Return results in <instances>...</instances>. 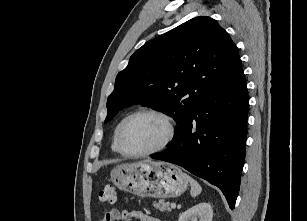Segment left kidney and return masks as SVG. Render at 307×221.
<instances>
[{
    "label": "left kidney",
    "mask_w": 307,
    "mask_h": 221,
    "mask_svg": "<svg viewBox=\"0 0 307 221\" xmlns=\"http://www.w3.org/2000/svg\"><path fill=\"white\" fill-rule=\"evenodd\" d=\"M212 218V206L202 202L180 214L178 221H212Z\"/></svg>",
    "instance_id": "1"
}]
</instances>
